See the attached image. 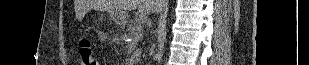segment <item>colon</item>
Here are the masks:
<instances>
[{"label": "colon", "mask_w": 309, "mask_h": 65, "mask_svg": "<svg viewBox=\"0 0 309 65\" xmlns=\"http://www.w3.org/2000/svg\"><path fill=\"white\" fill-rule=\"evenodd\" d=\"M81 65H98L90 40L82 39L79 43Z\"/></svg>", "instance_id": "1"}]
</instances>
